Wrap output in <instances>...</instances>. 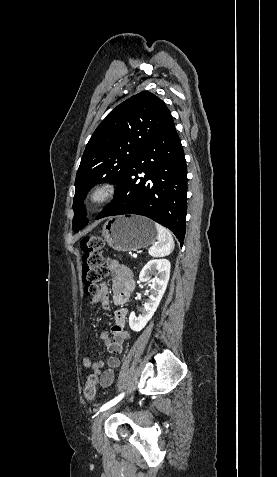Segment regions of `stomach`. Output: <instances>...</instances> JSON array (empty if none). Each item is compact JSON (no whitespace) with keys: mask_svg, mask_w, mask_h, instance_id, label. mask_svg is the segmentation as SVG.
Segmentation results:
<instances>
[{"mask_svg":"<svg viewBox=\"0 0 277 477\" xmlns=\"http://www.w3.org/2000/svg\"><path fill=\"white\" fill-rule=\"evenodd\" d=\"M102 236L114 250L127 252L153 244L157 233L148 218L128 215L111 217L103 226Z\"/></svg>","mask_w":277,"mask_h":477,"instance_id":"obj_1","label":"stomach"}]
</instances>
